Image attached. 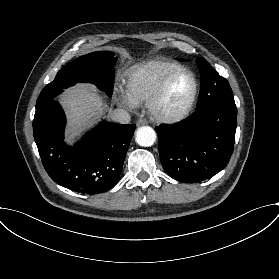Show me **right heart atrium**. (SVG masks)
Wrapping results in <instances>:
<instances>
[{
	"label": "right heart atrium",
	"mask_w": 279,
	"mask_h": 279,
	"mask_svg": "<svg viewBox=\"0 0 279 279\" xmlns=\"http://www.w3.org/2000/svg\"><path fill=\"white\" fill-rule=\"evenodd\" d=\"M114 99L122 106L131 110L138 109L142 105V100L133 95L124 86H117L113 92Z\"/></svg>",
	"instance_id": "d8ad5b80"
}]
</instances>
